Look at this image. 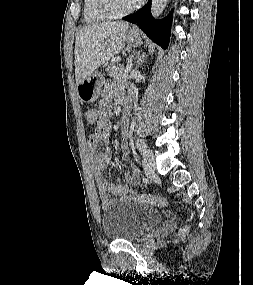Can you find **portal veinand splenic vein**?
<instances>
[{"instance_id":"obj_1","label":"portal vein and splenic vein","mask_w":253,"mask_h":285,"mask_svg":"<svg viewBox=\"0 0 253 285\" xmlns=\"http://www.w3.org/2000/svg\"><path fill=\"white\" fill-rule=\"evenodd\" d=\"M129 71H130V69H127L125 72H124V74H123V78H128L129 77Z\"/></svg>"}]
</instances>
